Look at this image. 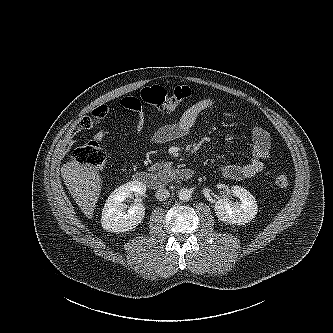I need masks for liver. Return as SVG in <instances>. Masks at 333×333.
Masks as SVG:
<instances>
[{"mask_svg":"<svg viewBox=\"0 0 333 333\" xmlns=\"http://www.w3.org/2000/svg\"><path fill=\"white\" fill-rule=\"evenodd\" d=\"M61 176L79 208L91 219L101 190L99 174L90 167L71 161L61 167Z\"/></svg>","mask_w":333,"mask_h":333,"instance_id":"obj_1","label":"liver"}]
</instances>
